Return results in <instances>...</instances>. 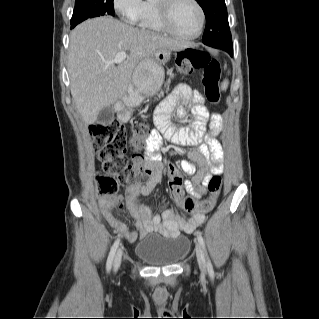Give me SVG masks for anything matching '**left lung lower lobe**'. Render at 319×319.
<instances>
[{
    "label": "left lung lower lobe",
    "mask_w": 319,
    "mask_h": 319,
    "mask_svg": "<svg viewBox=\"0 0 319 319\" xmlns=\"http://www.w3.org/2000/svg\"><path fill=\"white\" fill-rule=\"evenodd\" d=\"M221 49L228 52L231 56H233V45H224Z\"/></svg>",
    "instance_id": "obj_1"
}]
</instances>
